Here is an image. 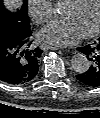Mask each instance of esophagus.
I'll return each mask as SVG.
<instances>
[{
	"label": "esophagus",
	"mask_w": 100,
	"mask_h": 118,
	"mask_svg": "<svg viewBox=\"0 0 100 118\" xmlns=\"http://www.w3.org/2000/svg\"><path fill=\"white\" fill-rule=\"evenodd\" d=\"M40 48H41L42 50H44V51H46V50H57V49H58V48H56V47H54V46H51V45H48V44H46V43H42V44L40 45ZM68 51L70 52L71 50L68 49Z\"/></svg>",
	"instance_id": "1"
}]
</instances>
